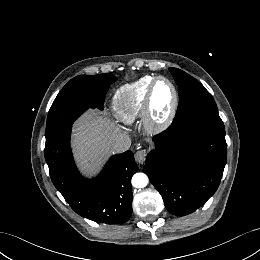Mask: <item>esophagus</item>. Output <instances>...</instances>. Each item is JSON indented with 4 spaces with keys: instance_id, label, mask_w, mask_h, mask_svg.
I'll return each mask as SVG.
<instances>
[{
    "instance_id": "obj_1",
    "label": "esophagus",
    "mask_w": 260,
    "mask_h": 260,
    "mask_svg": "<svg viewBox=\"0 0 260 260\" xmlns=\"http://www.w3.org/2000/svg\"><path fill=\"white\" fill-rule=\"evenodd\" d=\"M146 151L145 150H138L136 153H135V161L139 164H143L145 162V159H146Z\"/></svg>"
}]
</instances>
